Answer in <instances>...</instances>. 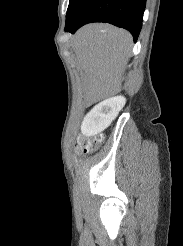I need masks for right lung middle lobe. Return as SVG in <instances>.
I'll list each match as a JSON object with an SVG mask.
<instances>
[{
  "mask_svg": "<svg viewBox=\"0 0 183 246\" xmlns=\"http://www.w3.org/2000/svg\"><path fill=\"white\" fill-rule=\"evenodd\" d=\"M80 1L81 0H70L68 10H67L66 19L71 16V14L73 13V11L75 10V8L77 7V5L79 4Z\"/></svg>",
  "mask_w": 183,
  "mask_h": 246,
  "instance_id": "1",
  "label": "right lung middle lobe"
}]
</instances>
